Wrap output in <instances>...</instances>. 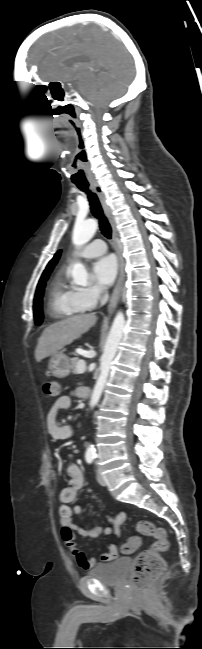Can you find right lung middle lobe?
Instances as JSON below:
<instances>
[{"label": "right lung middle lobe", "instance_id": "dd1d6c3e", "mask_svg": "<svg viewBox=\"0 0 202 649\" xmlns=\"http://www.w3.org/2000/svg\"><path fill=\"white\" fill-rule=\"evenodd\" d=\"M51 271L46 272L43 274L39 280V283L37 285L36 293H35V298H34V304H33V311H34V319L35 323L37 325H40L43 321V312H42V297L44 293V287L46 285V281L48 280L49 274Z\"/></svg>", "mask_w": 202, "mask_h": 649}]
</instances>
